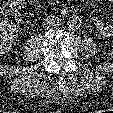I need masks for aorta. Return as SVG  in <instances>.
Listing matches in <instances>:
<instances>
[{
	"mask_svg": "<svg viewBox=\"0 0 113 113\" xmlns=\"http://www.w3.org/2000/svg\"><path fill=\"white\" fill-rule=\"evenodd\" d=\"M82 21L79 16L73 15L68 18L67 25L71 30H77L81 27Z\"/></svg>",
	"mask_w": 113,
	"mask_h": 113,
	"instance_id": "1",
	"label": "aorta"
}]
</instances>
